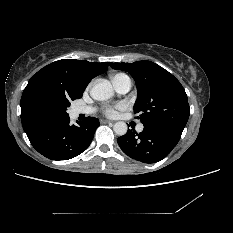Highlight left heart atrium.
Returning a JSON list of instances; mask_svg holds the SVG:
<instances>
[{"label":"left heart atrium","mask_w":233,"mask_h":233,"mask_svg":"<svg viewBox=\"0 0 233 233\" xmlns=\"http://www.w3.org/2000/svg\"><path fill=\"white\" fill-rule=\"evenodd\" d=\"M126 104L123 102L117 103L114 106H109L104 110V113L108 117H115L120 111H123L126 109Z\"/></svg>","instance_id":"1"}]
</instances>
